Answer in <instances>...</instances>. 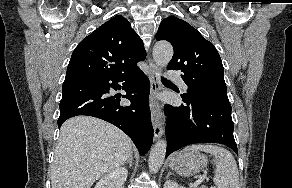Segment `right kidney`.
<instances>
[{
	"label": "right kidney",
	"instance_id": "obj_1",
	"mask_svg": "<svg viewBox=\"0 0 292 188\" xmlns=\"http://www.w3.org/2000/svg\"><path fill=\"white\" fill-rule=\"evenodd\" d=\"M128 171L125 168H118L104 175L95 188H124Z\"/></svg>",
	"mask_w": 292,
	"mask_h": 188
}]
</instances>
